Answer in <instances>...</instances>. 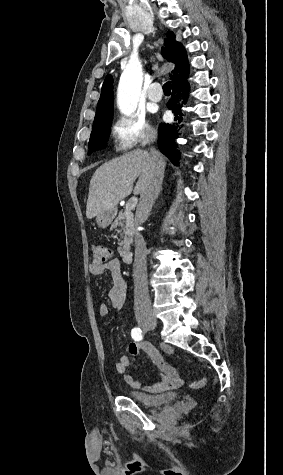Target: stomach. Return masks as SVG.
Masks as SVG:
<instances>
[{
  "label": "stomach",
  "mask_w": 283,
  "mask_h": 475,
  "mask_svg": "<svg viewBox=\"0 0 283 475\" xmlns=\"http://www.w3.org/2000/svg\"><path fill=\"white\" fill-rule=\"evenodd\" d=\"M116 214V208H114V210H105V212L96 216V224H98L99 228H107V226L113 222Z\"/></svg>",
  "instance_id": "1"
}]
</instances>
